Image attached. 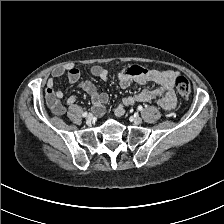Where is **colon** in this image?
I'll use <instances>...</instances> for the list:
<instances>
[{
  "label": "colon",
  "instance_id": "1",
  "mask_svg": "<svg viewBox=\"0 0 224 224\" xmlns=\"http://www.w3.org/2000/svg\"><path fill=\"white\" fill-rule=\"evenodd\" d=\"M148 71L145 67L140 66V65H131L127 67L126 69V74L131 75V76H139V75H144ZM175 87L178 92V94L182 98H188L191 94V86L187 78L183 76H179L175 80Z\"/></svg>",
  "mask_w": 224,
  "mask_h": 224
}]
</instances>
